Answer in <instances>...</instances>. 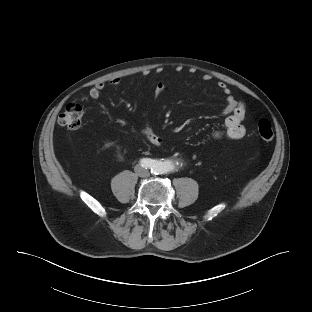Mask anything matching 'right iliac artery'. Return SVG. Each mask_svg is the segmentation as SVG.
Wrapping results in <instances>:
<instances>
[{
  "label": "right iliac artery",
  "mask_w": 312,
  "mask_h": 312,
  "mask_svg": "<svg viewBox=\"0 0 312 312\" xmlns=\"http://www.w3.org/2000/svg\"><path fill=\"white\" fill-rule=\"evenodd\" d=\"M140 164L144 168H151L154 165V161L148 158H143L140 160Z\"/></svg>",
  "instance_id": "82829eb1"
}]
</instances>
